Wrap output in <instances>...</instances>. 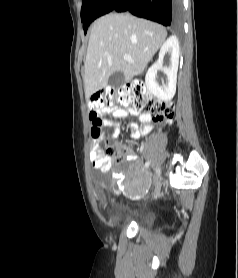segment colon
Masks as SVG:
<instances>
[{
  "label": "colon",
  "instance_id": "5ec220e1",
  "mask_svg": "<svg viewBox=\"0 0 238 278\" xmlns=\"http://www.w3.org/2000/svg\"><path fill=\"white\" fill-rule=\"evenodd\" d=\"M117 106L134 113L149 114L157 123H170L174 114L172 104L155 100L142 81H134L118 90L107 88L94 94L88 103L93 138L101 137V113L114 110ZM117 152V147L108 145L105 155L114 156Z\"/></svg>",
  "mask_w": 238,
  "mask_h": 278
}]
</instances>
